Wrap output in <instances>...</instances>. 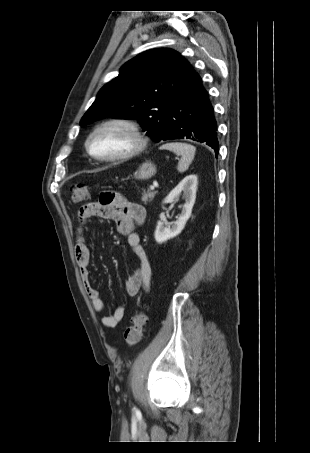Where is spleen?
<instances>
[{
	"label": "spleen",
	"mask_w": 310,
	"mask_h": 453,
	"mask_svg": "<svg viewBox=\"0 0 310 453\" xmlns=\"http://www.w3.org/2000/svg\"><path fill=\"white\" fill-rule=\"evenodd\" d=\"M162 150H169L176 155H180L181 159L178 162L177 170L180 173L185 172L188 170L190 164L192 163L196 148L195 146L187 143H180V142H172L164 144L160 147Z\"/></svg>",
	"instance_id": "spleen-1"
}]
</instances>
